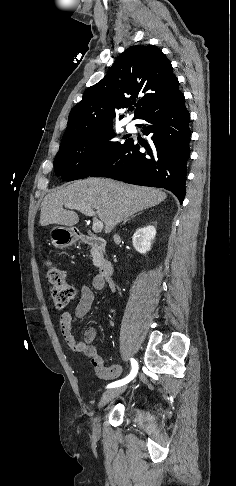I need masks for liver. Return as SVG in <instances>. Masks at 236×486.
<instances>
[{"label":"liver","mask_w":236,"mask_h":486,"mask_svg":"<svg viewBox=\"0 0 236 486\" xmlns=\"http://www.w3.org/2000/svg\"><path fill=\"white\" fill-rule=\"evenodd\" d=\"M166 197L165 192L149 187L88 178L47 194L41 203L40 225L73 226L79 222V217L63 206H71L72 209L92 208L104 222V231L108 234L121 221L138 211L158 205Z\"/></svg>","instance_id":"6515ba94"}]
</instances>
